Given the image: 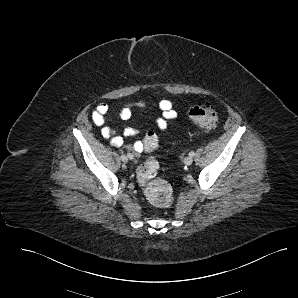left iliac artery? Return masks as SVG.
Returning <instances> with one entry per match:
<instances>
[{"label":"left iliac artery","mask_w":298,"mask_h":298,"mask_svg":"<svg viewBox=\"0 0 298 298\" xmlns=\"http://www.w3.org/2000/svg\"><path fill=\"white\" fill-rule=\"evenodd\" d=\"M195 153L193 151L189 152V156L193 157Z\"/></svg>","instance_id":"1"}]
</instances>
